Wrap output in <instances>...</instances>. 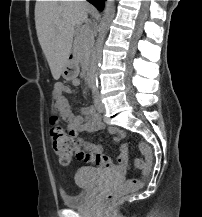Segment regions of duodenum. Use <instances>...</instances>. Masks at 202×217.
Wrapping results in <instances>:
<instances>
[{
	"mask_svg": "<svg viewBox=\"0 0 202 217\" xmlns=\"http://www.w3.org/2000/svg\"><path fill=\"white\" fill-rule=\"evenodd\" d=\"M71 58H73V56H71ZM86 77H87V82L89 84H91L92 83V74H91L90 70L87 71Z\"/></svg>",
	"mask_w": 202,
	"mask_h": 217,
	"instance_id": "410a0bca",
	"label": "duodenum"
}]
</instances>
